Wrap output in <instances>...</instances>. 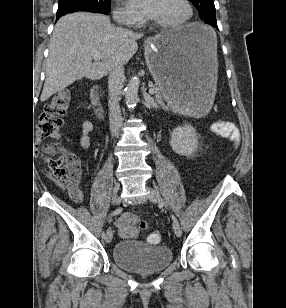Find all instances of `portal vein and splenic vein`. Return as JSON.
<instances>
[{
  "mask_svg": "<svg viewBox=\"0 0 286 308\" xmlns=\"http://www.w3.org/2000/svg\"><path fill=\"white\" fill-rule=\"evenodd\" d=\"M91 55H92L93 59H95V60H100L102 58L101 54L96 50H91ZM156 92H157V89L154 88V87L149 89V94H151V95L155 94Z\"/></svg>",
  "mask_w": 286,
  "mask_h": 308,
  "instance_id": "obj_1",
  "label": "portal vein and splenic vein"
}]
</instances>
